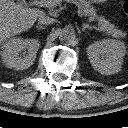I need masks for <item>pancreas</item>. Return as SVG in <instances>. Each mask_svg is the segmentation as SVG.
<instances>
[{
	"mask_svg": "<svg viewBox=\"0 0 128 128\" xmlns=\"http://www.w3.org/2000/svg\"><path fill=\"white\" fill-rule=\"evenodd\" d=\"M64 0H59V2H63ZM80 5V13L82 16H86L89 18V21H98V30L104 32L107 35H111L115 38H123L125 37V33L118 29L117 26L110 23L104 16H98L96 14V10L92 6L90 0H78Z\"/></svg>",
	"mask_w": 128,
	"mask_h": 128,
	"instance_id": "obj_1",
	"label": "pancreas"
}]
</instances>
